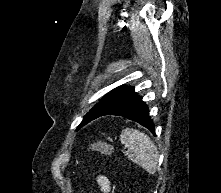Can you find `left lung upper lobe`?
Returning <instances> with one entry per match:
<instances>
[{
    "mask_svg": "<svg viewBox=\"0 0 221 193\" xmlns=\"http://www.w3.org/2000/svg\"><path fill=\"white\" fill-rule=\"evenodd\" d=\"M126 87H118L110 94L106 95L97 105H95L83 118V121L78 128L87 124L89 121L98 118L106 108L123 92Z\"/></svg>",
    "mask_w": 221,
    "mask_h": 193,
    "instance_id": "1",
    "label": "left lung upper lobe"
}]
</instances>
